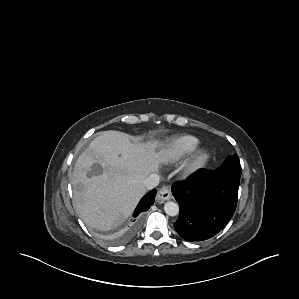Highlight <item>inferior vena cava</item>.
I'll list each match as a JSON object with an SVG mask.
<instances>
[{"instance_id":"inferior-vena-cava-1","label":"inferior vena cava","mask_w":299,"mask_h":299,"mask_svg":"<svg viewBox=\"0 0 299 299\" xmlns=\"http://www.w3.org/2000/svg\"><path fill=\"white\" fill-rule=\"evenodd\" d=\"M159 181H160V176L156 173H152L143 180V185L145 189L151 190L159 184Z\"/></svg>"}]
</instances>
